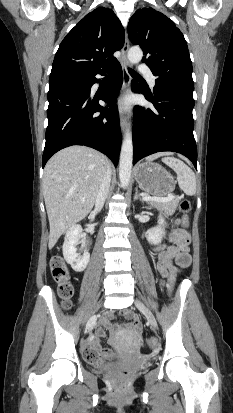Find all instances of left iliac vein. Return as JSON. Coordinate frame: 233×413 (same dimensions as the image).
Here are the masks:
<instances>
[{
  "mask_svg": "<svg viewBox=\"0 0 233 413\" xmlns=\"http://www.w3.org/2000/svg\"><path fill=\"white\" fill-rule=\"evenodd\" d=\"M136 307L144 314L146 317L148 323L150 324L151 328L156 330L157 329V321L153 315V313L150 311V309L140 300L135 301Z\"/></svg>",
  "mask_w": 233,
  "mask_h": 413,
  "instance_id": "1",
  "label": "left iliac vein"
}]
</instances>
